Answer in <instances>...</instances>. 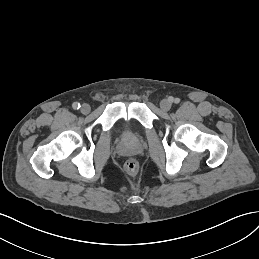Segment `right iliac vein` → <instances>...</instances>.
I'll list each match as a JSON object with an SVG mask.
<instances>
[{
    "mask_svg": "<svg viewBox=\"0 0 259 259\" xmlns=\"http://www.w3.org/2000/svg\"><path fill=\"white\" fill-rule=\"evenodd\" d=\"M81 113L88 114L91 111V107L88 104H83L80 109Z\"/></svg>",
    "mask_w": 259,
    "mask_h": 259,
    "instance_id": "right-iliac-vein-1",
    "label": "right iliac vein"
}]
</instances>
